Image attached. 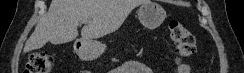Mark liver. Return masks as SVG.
Segmentation results:
<instances>
[{
  "label": "liver",
  "instance_id": "1",
  "mask_svg": "<svg viewBox=\"0 0 244 73\" xmlns=\"http://www.w3.org/2000/svg\"><path fill=\"white\" fill-rule=\"evenodd\" d=\"M147 0H52L43 17L24 46V53L39 49L47 42L62 44L78 36L92 41L118 30L131 11Z\"/></svg>",
  "mask_w": 244,
  "mask_h": 73
}]
</instances>
